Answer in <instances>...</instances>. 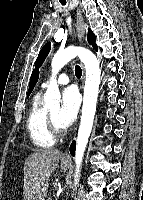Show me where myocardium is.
<instances>
[{
  "instance_id": "obj_1",
  "label": "myocardium",
  "mask_w": 143,
  "mask_h": 200,
  "mask_svg": "<svg viewBox=\"0 0 143 200\" xmlns=\"http://www.w3.org/2000/svg\"><path fill=\"white\" fill-rule=\"evenodd\" d=\"M47 125L54 138L61 137L64 134V130L57 126L50 112L47 113Z\"/></svg>"
}]
</instances>
